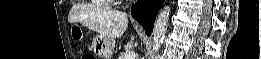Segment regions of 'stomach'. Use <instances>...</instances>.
<instances>
[{"instance_id": "0dacf381", "label": "stomach", "mask_w": 261, "mask_h": 59, "mask_svg": "<svg viewBox=\"0 0 261 59\" xmlns=\"http://www.w3.org/2000/svg\"><path fill=\"white\" fill-rule=\"evenodd\" d=\"M115 40L103 36H97L93 40L94 52L103 59H111Z\"/></svg>"}]
</instances>
